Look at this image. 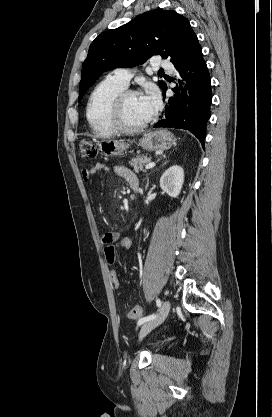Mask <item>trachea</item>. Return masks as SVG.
<instances>
[{"mask_svg":"<svg viewBox=\"0 0 272 417\" xmlns=\"http://www.w3.org/2000/svg\"><path fill=\"white\" fill-rule=\"evenodd\" d=\"M159 73H164V71L163 70H160Z\"/></svg>","mask_w":272,"mask_h":417,"instance_id":"3493384b","label":"trachea"}]
</instances>
